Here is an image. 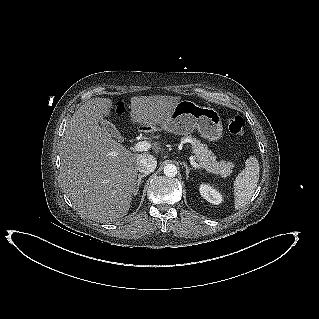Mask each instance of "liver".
<instances>
[{
  "instance_id": "1",
  "label": "liver",
  "mask_w": 319,
  "mask_h": 319,
  "mask_svg": "<svg viewBox=\"0 0 319 319\" xmlns=\"http://www.w3.org/2000/svg\"><path fill=\"white\" fill-rule=\"evenodd\" d=\"M180 97L131 98V121L155 127L169 121ZM113 102L92 98L73 114L60 144L61 181L77 212L98 222H112L128 213L138 175L139 159L102 127ZM153 150L159 148L154 144Z\"/></svg>"
}]
</instances>
